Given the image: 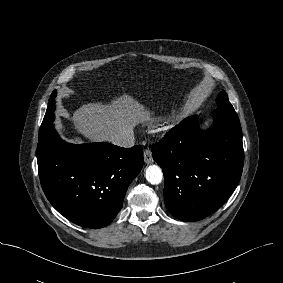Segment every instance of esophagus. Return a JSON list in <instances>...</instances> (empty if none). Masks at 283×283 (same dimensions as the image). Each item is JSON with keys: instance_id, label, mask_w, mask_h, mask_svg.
I'll list each match as a JSON object with an SVG mask.
<instances>
[{"instance_id": "obj_1", "label": "esophagus", "mask_w": 283, "mask_h": 283, "mask_svg": "<svg viewBox=\"0 0 283 283\" xmlns=\"http://www.w3.org/2000/svg\"><path fill=\"white\" fill-rule=\"evenodd\" d=\"M144 161L146 164H150L153 162V155L150 149H146L144 151Z\"/></svg>"}]
</instances>
